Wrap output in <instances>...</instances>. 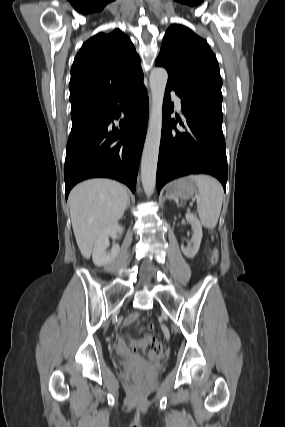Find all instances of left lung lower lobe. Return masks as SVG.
<instances>
[{"instance_id":"obj_1","label":"left lung lower lobe","mask_w":285,"mask_h":427,"mask_svg":"<svg viewBox=\"0 0 285 427\" xmlns=\"http://www.w3.org/2000/svg\"><path fill=\"white\" fill-rule=\"evenodd\" d=\"M182 99V113L187 122L177 130L170 121L173 104L170 91ZM163 127L157 166V191L175 178L189 174H210L227 182V158L222 132V110L201 102H193L171 85L166 86L163 105Z\"/></svg>"}]
</instances>
